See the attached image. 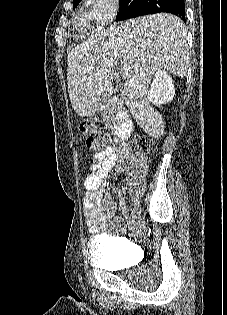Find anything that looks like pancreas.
<instances>
[{
    "mask_svg": "<svg viewBox=\"0 0 227 315\" xmlns=\"http://www.w3.org/2000/svg\"><path fill=\"white\" fill-rule=\"evenodd\" d=\"M103 117H104V119L106 120V118H107V117H106V114H104Z\"/></svg>",
    "mask_w": 227,
    "mask_h": 315,
    "instance_id": "1",
    "label": "pancreas"
}]
</instances>
